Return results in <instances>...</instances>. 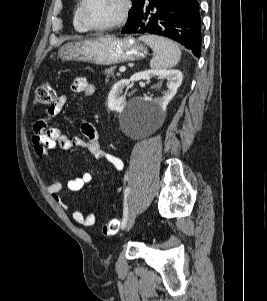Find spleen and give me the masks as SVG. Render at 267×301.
Segmentation results:
<instances>
[{
  "mask_svg": "<svg viewBox=\"0 0 267 301\" xmlns=\"http://www.w3.org/2000/svg\"><path fill=\"white\" fill-rule=\"evenodd\" d=\"M139 40L147 44L155 53V57L150 60L152 69L172 68L180 61L181 50L170 39L156 35H144L139 37Z\"/></svg>",
  "mask_w": 267,
  "mask_h": 301,
  "instance_id": "obj_1",
  "label": "spleen"
}]
</instances>
